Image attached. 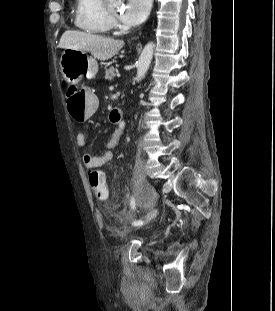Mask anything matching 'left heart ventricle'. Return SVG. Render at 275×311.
Returning a JSON list of instances; mask_svg holds the SVG:
<instances>
[{
	"label": "left heart ventricle",
	"mask_w": 275,
	"mask_h": 311,
	"mask_svg": "<svg viewBox=\"0 0 275 311\" xmlns=\"http://www.w3.org/2000/svg\"><path fill=\"white\" fill-rule=\"evenodd\" d=\"M121 6L120 5H110L109 9L113 12V13H117L120 10Z\"/></svg>",
	"instance_id": "obj_1"
}]
</instances>
